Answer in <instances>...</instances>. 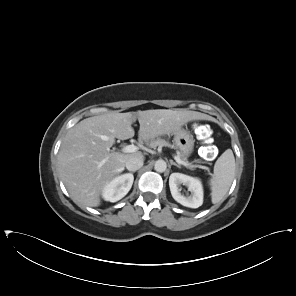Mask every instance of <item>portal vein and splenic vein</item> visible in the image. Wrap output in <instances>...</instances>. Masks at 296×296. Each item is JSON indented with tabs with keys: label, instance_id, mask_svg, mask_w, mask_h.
Listing matches in <instances>:
<instances>
[{
	"label": "portal vein and splenic vein",
	"instance_id": "obj_1",
	"mask_svg": "<svg viewBox=\"0 0 296 296\" xmlns=\"http://www.w3.org/2000/svg\"><path fill=\"white\" fill-rule=\"evenodd\" d=\"M137 149H138V147L132 144V145H127V146H125V147L122 149V151H123L124 153H133V152H136ZM174 159H175V161H176L178 164H180V165L189 166V164H187L186 162L182 161L178 156H175Z\"/></svg>",
	"mask_w": 296,
	"mask_h": 296
}]
</instances>
